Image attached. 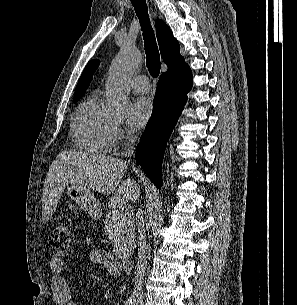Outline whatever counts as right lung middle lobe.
I'll use <instances>...</instances> for the list:
<instances>
[{
    "instance_id": "1",
    "label": "right lung middle lobe",
    "mask_w": 297,
    "mask_h": 305,
    "mask_svg": "<svg viewBox=\"0 0 297 305\" xmlns=\"http://www.w3.org/2000/svg\"><path fill=\"white\" fill-rule=\"evenodd\" d=\"M78 100H79V99H74L73 102L75 103V102H77Z\"/></svg>"
}]
</instances>
